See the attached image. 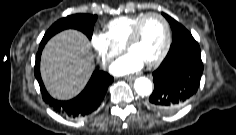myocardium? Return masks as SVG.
<instances>
[{
    "mask_svg": "<svg viewBox=\"0 0 236 135\" xmlns=\"http://www.w3.org/2000/svg\"><path fill=\"white\" fill-rule=\"evenodd\" d=\"M151 16H155L157 18H159L163 25H164V29H165V42H164V46L160 52V54L152 61H149V62H146V66L148 67H154V66H157L159 65L163 59L166 57L169 49H170V45H171V30H170V26H169V23L168 21L166 20V18L161 15L160 13H157V12H149V13H145L137 22L136 24L134 25L129 37L127 38L124 46H123V49L125 51H128L130 49V47L132 45H134L136 43V41L138 40L139 38V34H140V30H141V26L143 24V22L148 18V17H151Z\"/></svg>",
    "mask_w": 236,
    "mask_h": 135,
    "instance_id": "1",
    "label": "myocardium"
}]
</instances>
